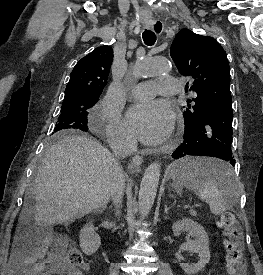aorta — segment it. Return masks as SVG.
<instances>
[{"mask_svg":"<svg viewBox=\"0 0 263 275\" xmlns=\"http://www.w3.org/2000/svg\"><path fill=\"white\" fill-rule=\"evenodd\" d=\"M170 70V64L166 59L147 58L138 61L133 70L135 78L148 77L156 74L166 73ZM161 165L157 162L150 164L143 175L139 196V214L144 219L150 212L157 193L160 178Z\"/></svg>","mask_w":263,"mask_h":275,"instance_id":"aorta-1","label":"aorta"}]
</instances>
